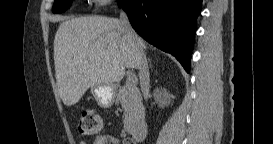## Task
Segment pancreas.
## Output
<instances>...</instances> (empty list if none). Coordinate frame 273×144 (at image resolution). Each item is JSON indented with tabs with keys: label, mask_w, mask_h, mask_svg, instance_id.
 Listing matches in <instances>:
<instances>
[{
	"label": "pancreas",
	"mask_w": 273,
	"mask_h": 144,
	"mask_svg": "<svg viewBox=\"0 0 273 144\" xmlns=\"http://www.w3.org/2000/svg\"><path fill=\"white\" fill-rule=\"evenodd\" d=\"M116 102L124 109V128L131 129L144 116V107L139 89L127 84L120 87L116 93Z\"/></svg>",
	"instance_id": "1"
}]
</instances>
